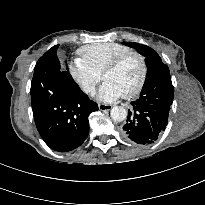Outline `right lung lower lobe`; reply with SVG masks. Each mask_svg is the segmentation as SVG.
Here are the masks:
<instances>
[{
	"label": "right lung lower lobe",
	"mask_w": 205,
	"mask_h": 205,
	"mask_svg": "<svg viewBox=\"0 0 205 205\" xmlns=\"http://www.w3.org/2000/svg\"><path fill=\"white\" fill-rule=\"evenodd\" d=\"M57 48L48 50L35 66L31 104L44 142L55 151L68 152L87 138L88 116L98 110V105L81 91L68 71L60 70Z\"/></svg>",
	"instance_id": "right-lung-lower-lobe-1"
}]
</instances>
